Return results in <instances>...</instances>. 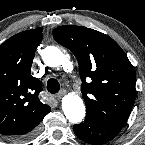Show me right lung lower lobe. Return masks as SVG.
<instances>
[{
    "label": "right lung lower lobe",
    "instance_id": "obj_1",
    "mask_svg": "<svg viewBox=\"0 0 145 145\" xmlns=\"http://www.w3.org/2000/svg\"><path fill=\"white\" fill-rule=\"evenodd\" d=\"M37 128L34 127L22 134H18V135H14V136H5V138L8 139H26V138H31L32 136H34V134L36 133Z\"/></svg>",
    "mask_w": 145,
    "mask_h": 145
}]
</instances>
